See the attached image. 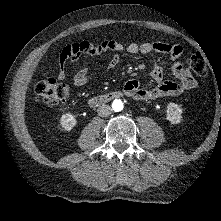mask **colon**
<instances>
[{
	"label": "colon",
	"instance_id": "1",
	"mask_svg": "<svg viewBox=\"0 0 221 221\" xmlns=\"http://www.w3.org/2000/svg\"><path fill=\"white\" fill-rule=\"evenodd\" d=\"M63 58L76 59L79 54L76 51L65 50L62 52ZM191 69L199 76H205L208 71L207 63L201 54L195 53L189 59ZM70 88L67 84L59 82L54 78L39 81L35 85L36 97L42 103L49 106H60L65 104L69 96Z\"/></svg>",
	"mask_w": 221,
	"mask_h": 221
}]
</instances>
